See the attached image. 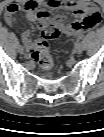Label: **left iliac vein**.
Here are the masks:
<instances>
[{"label":"left iliac vein","mask_w":104,"mask_h":137,"mask_svg":"<svg viewBox=\"0 0 104 137\" xmlns=\"http://www.w3.org/2000/svg\"><path fill=\"white\" fill-rule=\"evenodd\" d=\"M75 51H76L78 54L82 53V51H83L82 45L79 44V43L76 44V46H75Z\"/></svg>","instance_id":"left-iliac-vein-1"}]
</instances>
